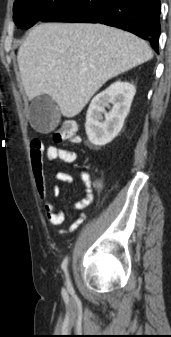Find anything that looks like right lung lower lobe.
<instances>
[{
	"instance_id": "obj_1",
	"label": "right lung lower lobe",
	"mask_w": 171,
	"mask_h": 337,
	"mask_svg": "<svg viewBox=\"0 0 171 337\" xmlns=\"http://www.w3.org/2000/svg\"><path fill=\"white\" fill-rule=\"evenodd\" d=\"M160 0H67L44 22L102 23L136 34L158 52Z\"/></svg>"
}]
</instances>
